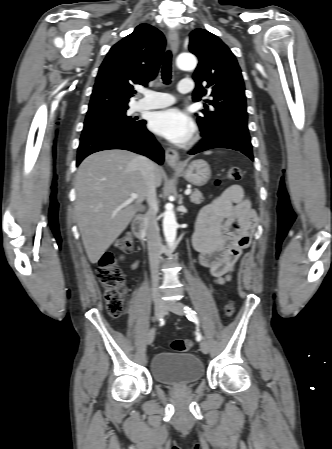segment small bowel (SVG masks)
<instances>
[{"instance_id": "1", "label": "small bowel", "mask_w": 332, "mask_h": 449, "mask_svg": "<svg viewBox=\"0 0 332 449\" xmlns=\"http://www.w3.org/2000/svg\"><path fill=\"white\" fill-rule=\"evenodd\" d=\"M257 226L255 212L240 186H231L204 206L193 238L200 263L216 283L227 282ZM138 262L132 264L136 268Z\"/></svg>"}]
</instances>
